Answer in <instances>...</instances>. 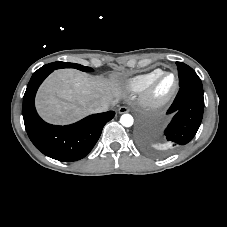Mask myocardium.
Wrapping results in <instances>:
<instances>
[{"label": "myocardium", "mask_w": 227, "mask_h": 227, "mask_svg": "<svg viewBox=\"0 0 227 227\" xmlns=\"http://www.w3.org/2000/svg\"><path fill=\"white\" fill-rule=\"evenodd\" d=\"M168 75L172 76L173 82L167 91L161 93L159 91L160 83ZM177 89V75L170 71H161L144 90L143 101L151 107H161L174 96Z\"/></svg>", "instance_id": "f54148a6"}]
</instances>
